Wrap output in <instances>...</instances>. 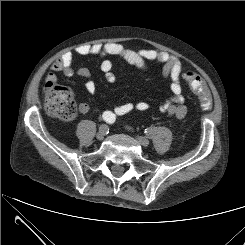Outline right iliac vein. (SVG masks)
<instances>
[{
    "mask_svg": "<svg viewBox=\"0 0 245 245\" xmlns=\"http://www.w3.org/2000/svg\"><path fill=\"white\" fill-rule=\"evenodd\" d=\"M105 136V132L102 131V126L99 128V132L96 135V138L98 140H103Z\"/></svg>",
    "mask_w": 245,
    "mask_h": 245,
    "instance_id": "right-iliac-vein-1",
    "label": "right iliac vein"
}]
</instances>
